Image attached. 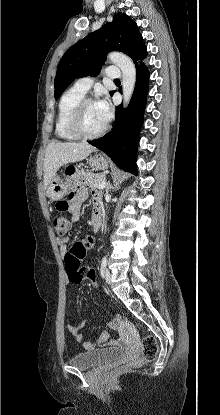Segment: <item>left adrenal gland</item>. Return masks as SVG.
<instances>
[{
  "label": "left adrenal gland",
  "instance_id": "a2214340",
  "mask_svg": "<svg viewBox=\"0 0 220 415\" xmlns=\"http://www.w3.org/2000/svg\"><path fill=\"white\" fill-rule=\"evenodd\" d=\"M112 188H113L112 185L110 183H108L107 187H106V193H108L109 190H111Z\"/></svg>",
  "mask_w": 220,
  "mask_h": 415
}]
</instances>
